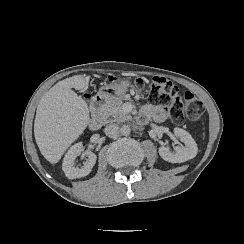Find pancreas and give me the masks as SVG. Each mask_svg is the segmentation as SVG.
Instances as JSON below:
<instances>
[{
	"mask_svg": "<svg viewBox=\"0 0 244 244\" xmlns=\"http://www.w3.org/2000/svg\"><path fill=\"white\" fill-rule=\"evenodd\" d=\"M126 99L127 98L123 97L121 99L108 102L103 108V116L120 123L130 120L132 118L131 115L123 109L124 100Z\"/></svg>",
	"mask_w": 244,
	"mask_h": 244,
	"instance_id": "pancreas-1",
	"label": "pancreas"
}]
</instances>
